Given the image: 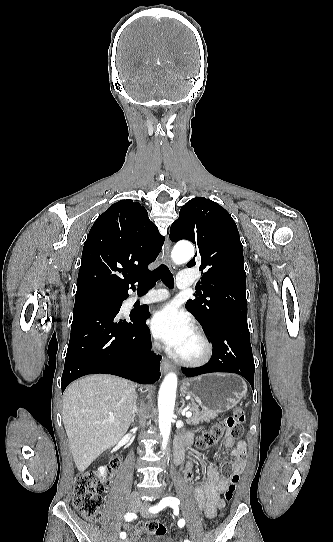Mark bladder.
<instances>
[{
  "instance_id": "obj_1",
  "label": "bladder",
  "mask_w": 333,
  "mask_h": 542,
  "mask_svg": "<svg viewBox=\"0 0 333 542\" xmlns=\"http://www.w3.org/2000/svg\"><path fill=\"white\" fill-rule=\"evenodd\" d=\"M139 542H176L171 536L161 534L145 535Z\"/></svg>"
}]
</instances>
